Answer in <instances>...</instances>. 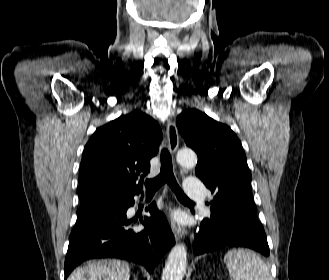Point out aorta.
Masks as SVG:
<instances>
[{
  "instance_id": "1",
  "label": "aorta",
  "mask_w": 329,
  "mask_h": 280,
  "mask_svg": "<svg viewBox=\"0 0 329 280\" xmlns=\"http://www.w3.org/2000/svg\"><path fill=\"white\" fill-rule=\"evenodd\" d=\"M178 163L192 168L197 163V156L192 150H180L177 153ZM187 250L184 244H176L168 255L162 280H182L186 273Z\"/></svg>"
}]
</instances>
